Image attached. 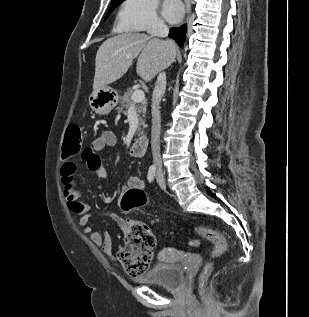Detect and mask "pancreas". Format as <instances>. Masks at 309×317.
<instances>
[{
  "instance_id": "cf45deb5",
  "label": "pancreas",
  "mask_w": 309,
  "mask_h": 317,
  "mask_svg": "<svg viewBox=\"0 0 309 317\" xmlns=\"http://www.w3.org/2000/svg\"><path fill=\"white\" fill-rule=\"evenodd\" d=\"M133 91L131 89H128L122 97H120V107H118V112H122L124 115L127 114V109L130 106H134L135 110L137 112L138 116V128L136 134L139 135L142 131V129L145 127V114H146V107H147V102L142 101L141 103H134L131 100Z\"/></svg>"
}]
</instances>
